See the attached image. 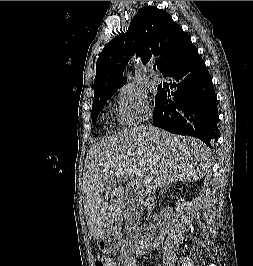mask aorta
I'll list each match as a JSON object with an SVG mask.
<instances>
[{
	"mask_svg": "<svg viewBox=\"0 0 253 266\" xmlns=\"http://www.w3.org/2000/svg\"><path fill=\"white\" fill-rule=\"evenodd\" d=\"M125 76L130 79L131 78V73L130 72H126Z\"/></svg>",
	"mask_w": 253,
	"mask_h": 266,
	"instance_id": "762f6f07",
	"label": "aorta"
}]
</instances>
